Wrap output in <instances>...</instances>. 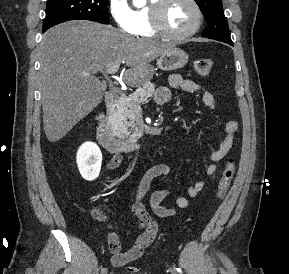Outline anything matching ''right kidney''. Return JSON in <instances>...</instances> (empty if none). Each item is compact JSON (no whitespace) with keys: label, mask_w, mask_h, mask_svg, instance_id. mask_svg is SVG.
Segmentation results:
<instances>
[{"label":"right kidney","mask_w":289,"mask_h":274,"mask_svg":"<svg viewBox=\"0 0 289 274\" xmlns=\"http://www.w3.org/2000/svg\"><path fill=\"white\" fill-rule=\"evenodd\" d=\"M76 161L79 172L85 180L93 181L99 176L102 153L95 143L82 144L78 149Z\"/></svg>","instance_id":"1"}]
</instances>
